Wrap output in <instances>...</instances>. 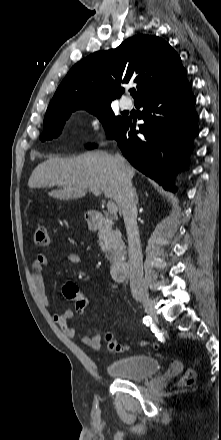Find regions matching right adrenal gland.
<instances>
[{
    "mask_svg": "<svg viewBox=\"0 0 221 440\" xmlns=\"http://www.w3.org/2000/svg\"><path fill=\"white\" fill-rule=\"evenodd\" d=\"M133 191H134V196H135V199H136V204H138L139 198H138V195H137L135 187L133 188Z\"/></svg>",
    "mask_w": 221,
    "mask_h": 440,
    "instance_id": "obj_1",
    "label": "right adrenal gland"
}]
</instances>
